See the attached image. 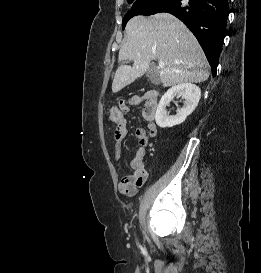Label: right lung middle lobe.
<instances>
[{"instance_id":"right-lung-middle-lobe-1","label":"right lung middle lobe","mask_w":261,"mask_h":273,"mask_svg":"<svg viewBox=\"0 0 261 273\" xmlns=\"http://www.w3.org/2000/svg\"><path fill=\"white\" fill-rule=\"evenodd\" d=\"M157 1H161V0H128V3L131 4L132 9L128 11L127 14L125 15L122 22V28L124 29L129 19H131L132 17L136 15H140L144 7Z\"/></svg>"}]
</instances>
